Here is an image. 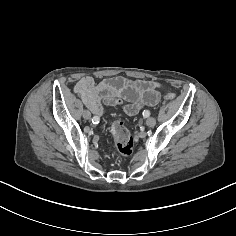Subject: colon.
<instances>
[{
    "label": "colon",
    "instance_id": "colon-1",
    "mask_svg": "<svg viewBox=\"0 0 236 236\" xmlns=\"http://www.w3.org/2000/svg\"><path fill=\"white\" fill-rule=\"evenodd\" d=\"M165 98L166 100L173 102L177 99V95L172 91H168L165 94ZM104 102L113 105L120 103L121 99L117 96L109 95L104 97ZM110 131L114 139L116 151L124 157L132 155L134 150V139L124 122L120 119L113 120Z\"/></svg>",
    "mask_w": 236,
    "mask_h": 236
}]
</instances>
